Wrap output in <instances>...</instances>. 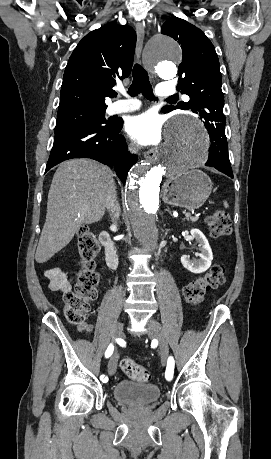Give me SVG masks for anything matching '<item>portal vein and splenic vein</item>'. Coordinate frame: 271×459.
Returning <instances> with one entry per match:
<instances>
[{
    "label": "portal vein and splenic vein",
    "instance_id": "portal-vein-and-splenic-vein-1",
    "mask_svg": "<svg viewBox=\"0 0 271 459\" xmlns=\"http://www.w3.org/2000/svg\"><path fill=\"white\" fill-rule=\"evenodd\" d=\"M190 214H191V213H190L189 211H186V212H185V216H186V217H189Z\"/></svg>",
    "mask_w": 271,
    "mask_h": 459
}]
</instances>
